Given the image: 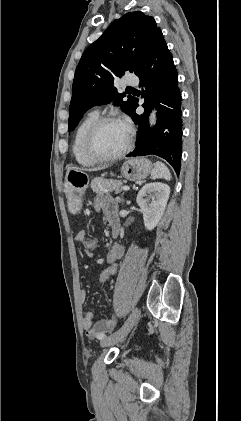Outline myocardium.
Instances as JSON below:
<instances>
[{
  "label": "myocardium",
  "mask_w": 241,
  "mask_h": 421,
  "mask_svg": "<svg viewBox=\"0 0 241 421\" xmlns=\"http://www.w3.org/2000/svg\"><path fill=\"white\" fill-rule=\"evenodd\" d=\"M110 122H121V120L115 116H103L99 117L87 130L84 138V150L86 154L95 160L96 162H108L119 159L126 155L132 148L133 145V130L131 127H128V140L124 148L120 151L105 155L100 153L95 147V139L100 128Z\"/></svg>",
  "instance_id": "myocardium-1"
}]
</instances>
